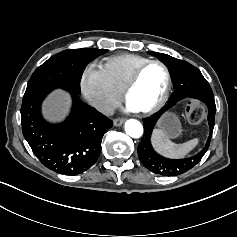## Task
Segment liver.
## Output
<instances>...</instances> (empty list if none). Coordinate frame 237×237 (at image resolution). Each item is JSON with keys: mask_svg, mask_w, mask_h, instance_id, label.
Here are the masks:
<instances>
[{"mask_svg": "<svg viewBox=\"0 0 237 237\" xmlns=\"http://www.w3.org/2000/svg\"><path fill=\"white\" fill-rule=\"evenodd\" d=\"M71 107V97L67 92L55 90L43 102L42 111L49 121H61Z\"/></svg>", "mask_w": 237, "mask_h": 237, "instance_id": "1", "label": "liver"}]
</instances>
